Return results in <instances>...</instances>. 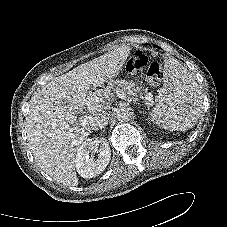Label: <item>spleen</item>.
Segmentation results:
<instances>
[{
    "label": "spleen",
    "instance_id": "3e777b00",
    "mask_svg": "<svg viewBox=\"0 0 227 227\" xmlns=\"http://www.w3.org/2000/svg\"><path fill=\"white\" fill-rule=\"evenodd\" d=\"M164 91L152 111L151 120L164 129L185 131L202 114L198 85L188 70L174 59L164 61Z\"/></svg>",
    "mask_w": 227,
    "mask_h": 227
}]
</instances>
